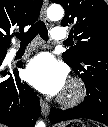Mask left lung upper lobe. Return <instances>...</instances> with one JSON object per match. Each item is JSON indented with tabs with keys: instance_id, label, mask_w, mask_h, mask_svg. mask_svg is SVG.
<instances>
[{
	"instance_id": "left-lung-upper-lobe-1",
	"label": "left lung upper lobe",
	"mask_w": 108,
	"mask_h": 127,
	"mask_svg": "<svg viewBox=\"0 0 108 127\" xmlns=\"http://www.w3.org/2000/svg\"><path fill=\"white\" fill-rule=\"evenodd\" d=\"M65 9L62 26H72L71 34L77 43L62 54L63 60L84 83L90 82L93 72L103 70L108 75V5L103 0H51ZM88 65L94 66L85 72ZM96 70V71H94Z\"/></svg>"
}]
</instances>
